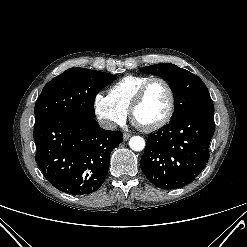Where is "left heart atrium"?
I'll use <instances>...</instances> for the list:
<instances>
[{
  "instance_id": "1",
  "label": "left heart atrium",
  "mask_w": 247,
  "mask_h": 247,
  "mask_svg": "<svg viewBox=\"0 0 247 247\" xmlns=\"http://www.w3.org/2000/svg\"><path fill=\"white\" fill-rule=\"evenodd\" d=\"M136 124L141 125L137 120H135Z\"/></svg>"
}]
</instances>
